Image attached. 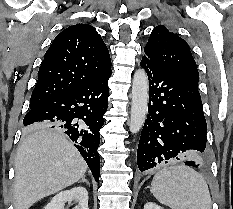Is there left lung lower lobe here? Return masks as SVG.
Returning a JSON list of instances; mask_svg holds the SVG:
<instances>
[{"label": "left lung lower lobe", "instance_id": "left-lung-lower-lobe-1", "mask_svg": "<svg viewBox=\"0 0 233 209\" xmlns=\"http://www.w3.org/2000/svg\"><path fill=\"white\" fill-rule=\"evenodd\" d=\"M149 79V115L137 150L140 171L171 160L198 167L197 158L185 153L204 152L207 124L203 113L198 81L144 56L141 61Z\"/></svg>", "mask_w": 233, "mask_h": 209}]
</instances>
